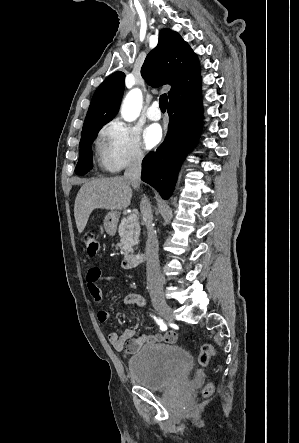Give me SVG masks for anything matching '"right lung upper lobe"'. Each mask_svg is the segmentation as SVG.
I'll list each match as a JSON object with an SVG mask.
<instances>
[{
  "label": "right lung upper lobe",
  "instance_id": "1",
  "mask_svg": "<svg viewBox=\"0 0 299 443\" xmlns=\"http://www.w3.org/2000/svg\"><path fill=\"white\" fill-rule=\"evenodd\" d=\"M141 75L153 87L170 84V99L200 78L199 62L196 54L178 33L163 29L159 33L158 45L150 51L144 61ZM124 81V73L117 71L98 87L81 135L102 127L117 114L124 91Z\"/></svg>",
  "mask_w": 299,
  "mask_h": 443
}]
</instances>
